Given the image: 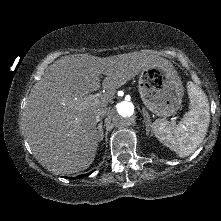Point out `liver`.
<instances>
[{
    "mask_svg": "<svg viewBox=\"0 0 221 221\" xmlns=\"http://www.w3.org/2000/svg\"><path fill=\"white\" fill-rule=\"evenodd\" d=\"M173 68L163 57L131 52L111 57H65L50 65L28 96L23 126L35 158L58 174L87 169L96 156L95 117L112 101L117 88L142 70ZM106 92L93 105L84 99L101 86Z\"/></svg>",
    "mask_w": 221,
    "mask_h": 221,
    "instance_id": "liver-1",
    "label": "liver"
}]
</instances>
